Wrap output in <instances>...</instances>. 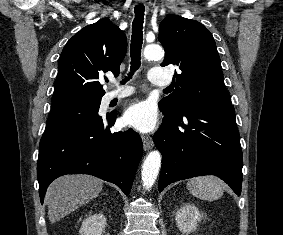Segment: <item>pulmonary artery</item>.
I'll return each mask as SVG.
<instances>
[{
	"mask_svg": "<svg viewBox=\"0 0 283 235\" xmlns=\"http://www.w3.org/2000/svg\"><path fill=\"white\" fill-rule=\"evenodd\" d=\"M149 80L152 84L157 86H167L170 84V79L167 77L165 71L152 68L150 70ZM134 93V90L130 87L122 88L117 91L108 92L103 98L104 103H109L113 100L123 99Z\"/></svg>",
	"mask_w": 283,
	"mask_h": 235,
	"instance_id": "e3ab8cb5",
	"label": "pulmonary artery"
}]
</instances>
